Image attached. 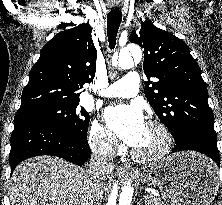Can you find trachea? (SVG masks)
<instances>
[{
    "instance_id": "obj_1",
    "label": "trachea",
    "mask_w": 222,
    "mask_h": 205,
    "mask_svg": "<svg viewBox=\"0 0 222 205\" xmlns=\"http://www.w3.org/2000/svg\"><path fill=\"white\" fill-rule=\"evenodd\" d=\"M122 21V12L119 9L111 10L107 15V34L109 48L114 49L116 45V38L118 29Z\"/></svg>"
}]
</instances>
